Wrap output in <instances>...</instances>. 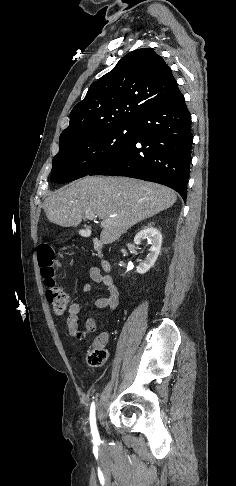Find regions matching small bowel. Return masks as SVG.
<instances>
[{"instance_id":"c3829d8e","label":"small bowel","mask_w":236,"mask_h":486,"mask_svg":"<svg viewBox=\"0 0 236 486\" xmlns=\"http://www.w3.org/2000/svg\"><path fill=\"white\" fill-rule=\"evenodd\" d=\"M89 275L94 283L102 284L108 294L105 297H100L95 300V306L100 309L114 310L118 306L119 291L111 276L104 275L97 267H92L89 270ZM91 290V284H85L83 286L84 292ZM81 311V305L79 303H73L68 309V315L66 319L67 328L69 334L76 338L78 334V317ZM97 322L93 317H89L85 322V327L88 332H94L96 330ZM108 340L107 333L99 334L95 341L94 346H104Z\"/></svg>"}]
</instances>
